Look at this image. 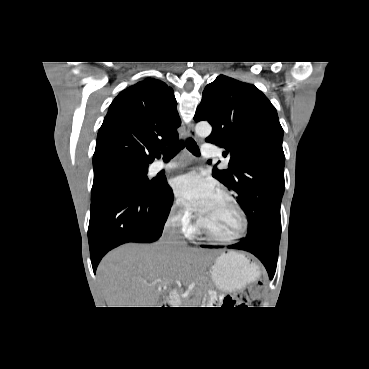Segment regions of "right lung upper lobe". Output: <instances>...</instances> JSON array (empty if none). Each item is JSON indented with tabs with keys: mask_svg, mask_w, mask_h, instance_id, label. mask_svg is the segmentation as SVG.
I'll list each match as a JSON object with an SVG mask.
<instances>
[{
	"mask_svg": "<svg viewBox=\"0 0 369 369\" xmlns=\"http://www.w3.org/2000/svg\"><path fill=\"white\" fill-rule=\"evenodd\" d=\"M173 90L147 78L119 93L101 125L93 165L113 161L149 164L160 146L178 139L181 121Z\"/></svg>",
	"mask_w": 369,
	"mask_h": 369,
	"instance_id": "cb5924a9",
	"label": "right lung upper lobe"
}]
</instances>
